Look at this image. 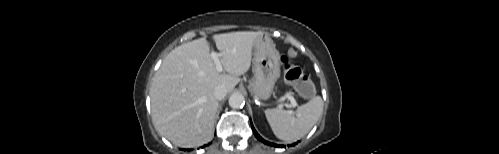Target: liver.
Wrapping results in <instances>:
<instances>
[{"label":"liver","instance_id":"liver-1","mask_svg":"<svg viewBox=\"0 0 499 154\" xmlns=\"http://www.w3.org/2000/svg\"><path fill=\"white\" fill-rule=\"evenodd\" d=\"M263 32L240 31L213 36L227 74L217 71L208 42L200 38L172 50L163 60L151 86L152 119L157 130L174 145L201 146L213 137L218 101L217 85L228 91L251 64L255 39Z\"/></svg>","mask_w":499,"mask_h":154}]
</instances>
